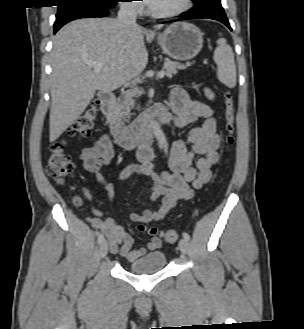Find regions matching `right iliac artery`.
I'll return each instance as SVG.
<instances>
[{
    "mask_svg": "<svg viewBox=\"0 0 304 329\" xmlns=\"http://www.w3.org/2000/svg\"><path fill=\"white\" fill-rule=\"evenodd\" d=\"M103 241H104V235H103V234H100V235L98 236V240H97V242H98V244H101Z\"/></svg>",
    "mask_w": 304,
    "mask_h": 329,
    "instance_id": "right-iliac-artery-1",
    "label": "right iliac artery"
}]
</instances>
